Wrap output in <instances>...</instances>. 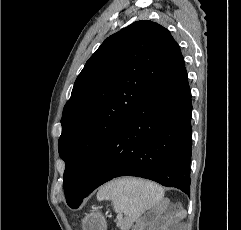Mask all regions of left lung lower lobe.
Returning <instances> with one entry per match:
<instances>
[{"mask_svg":"<svg viewBox=\"0 0 241 230\" xmlns=\"http://www.w3.org/2000/svg\"><path fill=\"white\" fill-rule=\"evenodd\" d=\"M191 90L184 60L114 133L84 197L119 176H136L190 194Z\"/></svg>","mask_w":241,"mask_h":230,"instance_id":"left-lung-lower-lobe-1","label":"left lung lower lobe"}]
</instances>
